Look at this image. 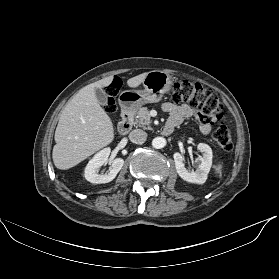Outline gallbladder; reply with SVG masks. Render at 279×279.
Here are the masks:
<instances>
[{
	"mask_svg": "<svg viewBox=\"0 0 279 279\" xmlns=\"http://www.w3.org/2000/svg\"><path fill=\"white\" fill-rule=\"evenodd\" d=\"M95 96L99 102V104L101 105H106L107 104V95L106 93L102 90V89H99V88H96L95 89Z\"/></svg>",
	"mask_w": 279,
	"mask_h": 279,
	"instance_id": "obj_1",
	"label": "gallbladder"
}]
</instances>
